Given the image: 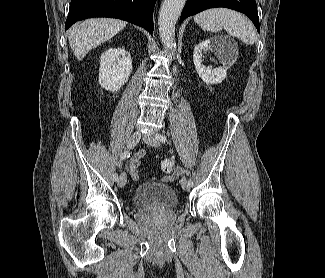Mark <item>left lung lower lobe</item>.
I'll list each match as a JSON object with an SVG mask.
<instances>
[{
  "instance_id": "obj_1",
  "label": "left lung lower lobe",
  "mask_w": 325,
  "mask_h": 278,
  "mask_svg": "<svg viewBox=\"0 0 325 278\" xmlns=\"http://www.w3.org/2000/svg\"><path fill=\"white\" fill-rule=\"evenodd\" d=\"M214 7L230 8L246 14L254 23L257 31H260L255 0H187L186 6L180 17V23L189 16Z\"/></svg>"
}]
</instances>
